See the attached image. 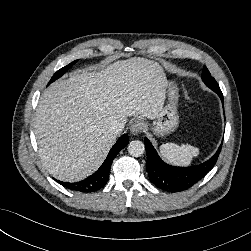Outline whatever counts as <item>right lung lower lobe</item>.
Returning <instances> with one entry per match:
<instances>
[{"instance_id":"1","label":"right lung lower lobe","mask_w":251,"mask_h":251,"mask_svg":"<svg viewBox=\"0 0 251 251\" xmlns=\"http://www.w3.org/2000/svg\"><path fill=\"white\" fill-rule=\"evenodd\" d=\"M129 143V137L127 134L122 135L115 145L111 148L107 158L101 167L91 176L82 180L80 182L69 183V182H58L64 187L79 192H95L101 189L107 183L109 179V172L111 168L112 161L118 154V152L123 149Z\"/></svg>"}]
</instances>
